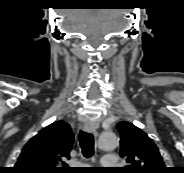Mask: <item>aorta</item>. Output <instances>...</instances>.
<instances>
[{
	"instance_id": "aorta-1",
	"label": "aorta",
	"mask_w": 184,
	"mask_h": 173,
	"mask_svg": "<svg viewBox=\"0 0 184 173\" xmlns=\"http://www.w3.org/2000/svg\"><path fill=\"white\" fill-rule=\"evenodd\" d=\"M118 146V138L113 132H104L98 140V147L104 151L114 150Z\"/></svg>"
}]
</instances>
